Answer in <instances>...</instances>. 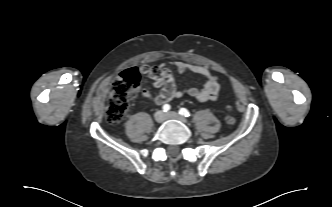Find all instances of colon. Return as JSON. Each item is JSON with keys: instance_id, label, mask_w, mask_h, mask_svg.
I'll use <instances>...</instances> for the list:
<instances>
[{"instance_id": "colon-1", "label": "colon", "mask_w": 332, "mask_h": 207, "mask_svg": "<svg viewBox=\"0 0 332 207\" xmlns=\"http://www.w3.org/2000/svg\"><path fill=\"white\" fill-rule=\"evenodd\" d=\"M140 74L136 68H130L122 72L112 83L108 100L106 118L110 123H118L125 116L130 101L140 90ZM226 124L232 126L235 123L231 115L232 107H227Z\"/></svg>"}]
</instances>
